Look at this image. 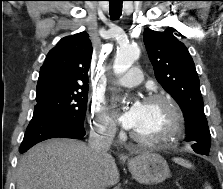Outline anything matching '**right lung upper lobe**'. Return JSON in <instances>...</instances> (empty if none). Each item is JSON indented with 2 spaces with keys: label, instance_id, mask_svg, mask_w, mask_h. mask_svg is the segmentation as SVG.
I'll return each instance as SVG.
<instances>
[{
  "label": "right lung upper lobe",
  "instance_id": "1",
  "mask_svg": "<svg viewBox=\"0 0 223 189\" xmlns=\"http://www.w3.org/2000/svg\"><path fill=\"white\" fill-rule=\"evenodd\" d=\"M91 57L92 45L86 32L62 38L40 68L36 92L88 88Z\"/></svg>",
  "mask_w": 223,
  "mask_h": 189
}]
</instances>
